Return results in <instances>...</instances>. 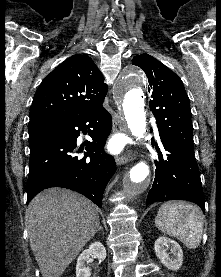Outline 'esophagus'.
Instances as JSON below:
<instances>
[{
    "instance_id": "obj_1",
    "label": "esophagus",
    "mask_w": 221,
    "mask_h": 277,
    "mask_svg": "<svg viewBox=\"0 0 221 277\" xmlns=\"http://www.w3.org/2000/svg\"><path fill=\"white\" fill-rule=\"evenodd\" d=\"M113 132H124L127 133V127L126 124L119 118L117 114L113 115ZM130 159V153L127 152L121 156L116 157V163L117 165H123L126 164Z\"/></svg>"
}]
</instances>
